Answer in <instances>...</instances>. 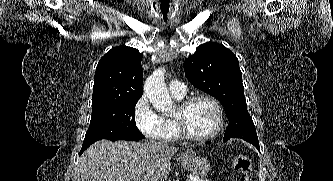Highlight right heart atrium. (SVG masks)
Masks as SVG:
<instances>
[{"instance_id":"1","label":"right heart atrium","mask_w":333,"mask_h":181,"mask_svg":"<svg viewBox=\"0 0 333 181\" xmlns=\"http://www.w3.org/2000/svg\"><path fill=\"white\" fill-rule=\"evenodd\" d=\"M133 118L139 131L148 138L169 139L174 131V123L160 115L145 96L136 101Z\"/></svg>"}]
</instances>
